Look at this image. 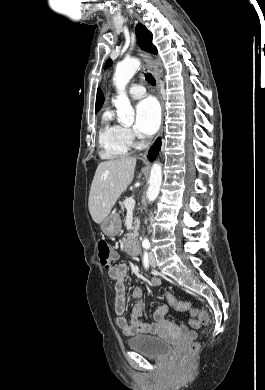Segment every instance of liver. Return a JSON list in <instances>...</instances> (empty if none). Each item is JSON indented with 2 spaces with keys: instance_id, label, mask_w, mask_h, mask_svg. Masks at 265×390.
<instances>
[{
  "instance_id": "6515ba94",
  "label": "liver",
  "mask_w": 265,
  "mask_h": 390,
  "mask_svg": "<svg viewBox=\"0 0 265 390\" xmlns=\"http://www.w3.org/2000/svg\"><path fill=\"white\" fill-rule=\"evenodd\" d=\"M136 166L135 157L101 162L95 172L88 200L93 221L100 224L109 215L121 194L131 184Z\"/></svg>"
}]
</instances>
